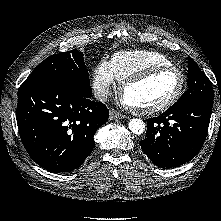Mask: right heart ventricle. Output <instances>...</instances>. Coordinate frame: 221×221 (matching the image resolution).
Here are the masks:
<instances>
[{"label": "right heart ventricle", "instance_id": "right-heart-ventricle-1", "mask_svg": "<svg viewBox=\"0 0 221 221\" xmlns=\"http://www.w3.org/2000/svg\"><path fill=\"white\" fill-rule=\"evenodd\" d=\"M109 63L119 81L150 67L173 65L165 55L151 50L119 51L112 55Z\"/></svg>", "mask_w": 221, "mask_h": 221}]
</instances>
